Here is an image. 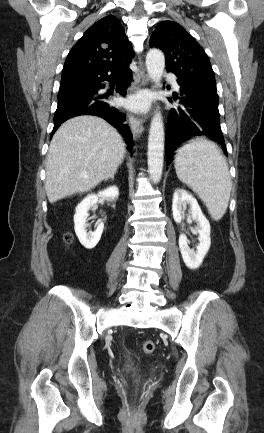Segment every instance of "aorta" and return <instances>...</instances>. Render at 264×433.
Instances as JSON below:
<instances>
[{
  "label": "aorta",
  "instance_id": "obj_1",
  "mask_svg": "<svg viewBox=\"0 0 264 433\" xmlns=\"http://www.w3.org/2000/svg\"><path fill=\"white\" fill-rule=\"evenodd\" d=\"M147 72L151 80L159 85L164 67V54L158 49H151L146 55ZM164 124L160 112H155L149 130L148 137V171L154 183H158L162 177L164 162Z\"/></svg>",
  "mask_w": 264,
  "mask_h": 433
}]
</instances>
